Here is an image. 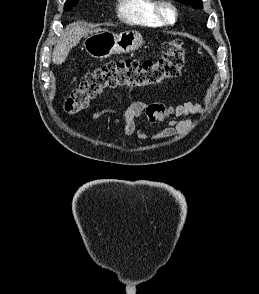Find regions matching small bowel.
I'll return each instance as SVG.
<instances>
[{
	"label": "small bowel",
	"instance_id": "c3829d8e",
	"mask_svg": "<svg viewBox=\"0 0 259 294\" xmlns=\"http://www.w3.org/2000/svg\"><path fill=\"white\" fill-rule=\"evenodd\" d=\"M202 113L203 107L198 103L186 102L179 105L168 106L162 101L148 103L142 97L138 96L124 112H119L118 110L111 108L102 109L96 111L91 116V119L97 120L104 115L116 116L114 123H122L123 132L127 135L136 130L134 119L141 115H146L148 120L152 123L168 120L166 126L162 130L152 135L154 138H166L186 133L192 128V121L190 119L177 121L169 120L170 118ZM137 134L141 138L147 137L141 129L137 130Z\"/></svg>",
	"mask_w": 259,
	"mask_h": 294
}]
</instances>
